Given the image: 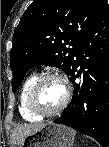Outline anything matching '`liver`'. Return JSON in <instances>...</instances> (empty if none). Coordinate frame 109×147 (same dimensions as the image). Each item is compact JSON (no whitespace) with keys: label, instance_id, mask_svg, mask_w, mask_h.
Returning a JSON list of instances; mask_svg holds the SVG:
<instances>
[{"label":"liver","instance_id":"obj_1","mask_svg":"<svg viewBox=\"0 0 109 147\" xmlns=\"http://www.w3.org/2000/svg\"><path fill=\"white\" fill-rule=\"evenodd\" d=\"M45 124H27L17 126L11 135V140L16 147H21L26 136L40 130Z\"/></svg>","mask_w":109,"mask_h":147}]
</instances>
